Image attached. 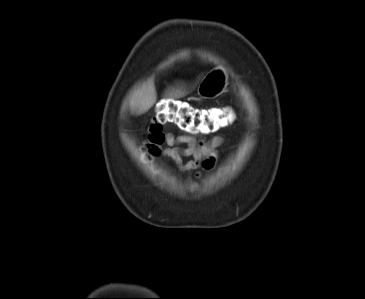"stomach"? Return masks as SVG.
Segmentation results:
<instances>
[{"label": "stomach", "mask_w": 365, "mask_h": 299, "mask_svg": "<svg viewBox=\"0 0 365 299\" xmlns=\"http://www.w3.org/2000/svg\"><path fill=\"white\" fill-rule=\"evenodd\" d=\"M226 85V72L221 68L215 69L208 73L201 81L198 87V95L202 98L218 96L225 90Z\"/></svg>", "instance_id": "stomach-1"}]
</instances>
